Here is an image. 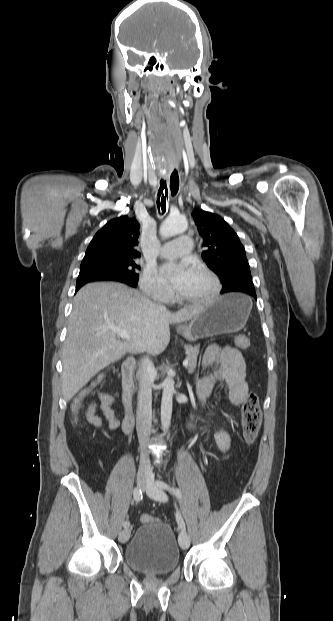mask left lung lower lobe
Wrapping results in <instances>:
<instances>
[{
  "mask_svg": "<svg viewBox=\"0 0 333 621\" xmlns=\"http://www.w3.org/2000/svg\"><path fill=\"white\" fill-rule=\"evenodd\" d=\"M230 292H240V293H245L251 297H253L254 299H257L256 293H255V289L254 288H237V289H233L231 291H227L225 293H230ZM222 293V294H225Z\"/></svg>",
  "mask_w": 333,
  "mask_h": 621,
  "instance_id": "obj_1",
  "label": "left lung lower lobe"
}]
</instances>
